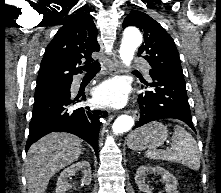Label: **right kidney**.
<instances>
[{
    "instance_id": "1",
    "label": "right kidney",
    "mask_w": 221,
    "mask_h": 193,
    "mask_svg": "<svg viewBox=\"0 0 221 193\" xmlns=\"http://www.w3.org/2000/svg\"><path fill=\"white\" fill-rule=\"evenodd\" d=\"M81 171L83 173L82 185H89L91 183V167L88 161H79L68 168H65L57 181V187L55 193H65L72 186L68 182V178L75 175L76 172Z\"/></svg>"
}]
</instances>
